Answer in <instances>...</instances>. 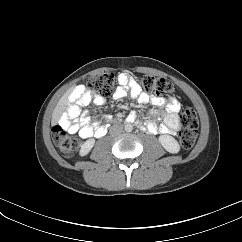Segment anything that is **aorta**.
I'll list each match as a JSON object with an SVG mask.
<instances>
[{
    "label": "aorta",
    "mask_w": 242,
    "mask_h": 242,
    "mask_svg": "<svg viewBox=\"0 0 242 242\" xmlns=\"http://www.w3.org/2000/svg\"><path fill=\"white\" fill-rule=\"evenodd\" d=\"M132 129H133V126H132L131 124H126V125H125V131H126V132H131Z\"/></svg>",
    "instance_id": "1"
}]
</instances>
